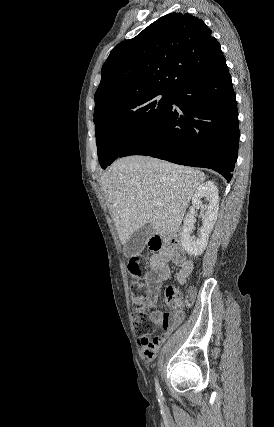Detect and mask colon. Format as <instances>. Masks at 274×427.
I'll return each instance as SVG.
<instances>
[{
	"mask_svg": "<svg viewBox=\"0 0 274 427\" xmlns=\"http://www.w3.org/2000/svg\"><path fill=\"white\" fill-rule=\"evenodd\" d=\"M134 265V273L137 275L149 271V262L140 261L137 255L131 256L128 266ZM137 282L131 284L132 300L134 303V311L132 312V321L136 335L146 338H151V356H152V332L156 328L155 320L152 316L143 312L142 295L137 293ZM164 295L167 301H172L175 297V288L171 285L165 287Z\"/></svg>",
	"mask_w": 274,
	"mask_h": 427,
	"instance_id": "5ec220e1",
	"label": "colon"
}]
</instances>
